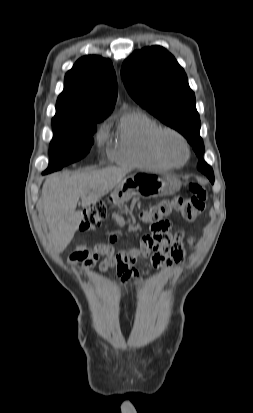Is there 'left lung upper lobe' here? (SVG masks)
Segmentation results:
<instances>
[{"label": "left lung upper lobe", "mask_w": 253, "mask_h": 413, "mask_svg": "<svg viewBox=\"0 0 253 413\" xmlns=\"http://www.w3.org/2000/svg\"><path fill=\"white\" fill-rule=\"evenodd\" d=\"M121 75L127 91L140 106L187 138L200 159L198 170L214 183L212 168L201 158L204 144L195 95L173 55L161 46L134 51L124 61Z\"/></svg>", "instance_id": "obj_1"}]
</instances>
